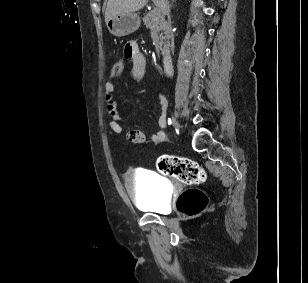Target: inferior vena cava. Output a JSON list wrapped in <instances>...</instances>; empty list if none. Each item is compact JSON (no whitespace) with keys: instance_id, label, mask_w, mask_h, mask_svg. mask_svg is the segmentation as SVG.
I'll return each mask as SVG.
<instances>
[{"instance_id":"602c4592","label":"inferior vena cava","mask_w":308,"mask_h":283,"mask_svg":"<svg viewBox=\"0 0 308 283\" xmlns=\"http://www.w3.org/2000/svg\"><path fill=\"white\" fill-rule=\"evenodd\" d=\"M163 12L168 16V35H169V44L171 45L173 49V45H175V40H174V35H175V30H174V21L170 20V6L168 2L164 3L163 5Z\"/></svg>"}]
</instances>
